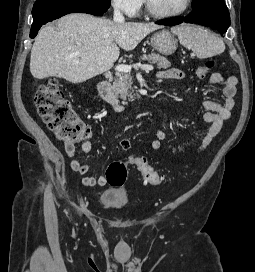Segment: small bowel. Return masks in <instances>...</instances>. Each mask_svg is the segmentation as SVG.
Instances as JSON below:
<instances>
[{
	"instance_id": "c3829d8e",
	"label": "small bowel",
	"mask_w": 255,
	"mask_h": 272,
	"mask_svg": "<svg viewBox=\"0 0 255 272\" xmlns=\"http://www.w3.org/2000/svg\"><path fill=\"white\" fill-rule=\"evenodd\" d=\"M185 73L178 69H167L160 71L157 74L159 80H181L185 78ZM209 83L212 85H221L223 88L224 102L220 103L214 100H205L203 106L208 110L204 119L209 123V129L205 135L200 150L206 148L214 137L220 132L225 120L231 116V111L235 107V95L236 85L238 79L236 76H229L224 78L219 72H214L210 78ZM166 139V134L163 130L159 129L156 132L155 139L151 141V149L158 150L163 141ZM120 147L123 151H129L131 149V141L129 139L120 140ZM81 149L84 153H90L93 149V143L91 139L84 141L81 145ZM67 155L70 157L71 168L79 172L82 175V184L84 186H105L107 184V178L104 175L99 177H93L89 175V167L86 164H81L75 158V148L65 147Z\"/></svg>"
}]
</instances>
